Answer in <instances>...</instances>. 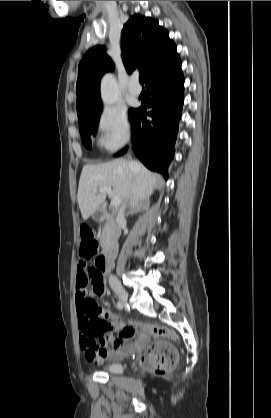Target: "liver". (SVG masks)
I'll return each mask as SVG.
<instances>
[{
  "instance_id": "obj_1",
  "label": "liver",
  "mask_w": 271,
  "mask_h": 418,
  "mask_svg": "<svg viewBox=\"0 0 271 418\" xmlns=\"http://www.w3.org/2000/svg\"><path fill=\"white\" fill-rule=\"evenodd\" d=\"M158 179L159 175L149 171L139 162L124 159L85 165L77 194L82 218L87 220L97 210L106 208V193L96 192L101 187H112L113 193L120 197L121 201H128L131 208H138L139 211L142 202L149 200Z\"/></svg>"
}]
</instances>
